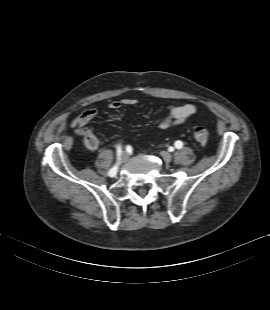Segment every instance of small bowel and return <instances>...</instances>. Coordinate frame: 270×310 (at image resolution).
Returning a JSON list of instances; mask_svg holds the SVG:
<instances>
[{
  "instance_id": "1",
  "label": "small bowel",
  "mask_w": 270,
  "mask_h": 310,
  "mask_svg": "<svg viewBox=\"0 0 270 310\" xmlns=\"http://www.w3.org/2000/svg\"><path fill=\"white\" fill-rule=\"evenodd\" d=\"M137 104L135 98H124L119 101H113L109 104L112 110H119L123 106H133ZM197 106L194 104L172 105L169 106L167 115L159 123V128L168 129L186 122L197 112ZM97 108H89L76 115L70 122V127L75 134L81 136L86 147L95 150L99 146V140L94 134V128L89 123L97 116Z\"/></svg>"
}]
</instances>
